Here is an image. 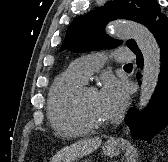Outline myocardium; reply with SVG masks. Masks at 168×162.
<instances>
[{"label":"myocardium","instance_id":"1","mask_svg":"<svg viewBox=\"0 0 168 162\" xmlns=\"http://www.w3.org/2000/svg\"><path fill=\"white\" fill-rule=\"evenodd\" d=\"M89 91H96V89L91 86L82 85L75 91L69 104L70 112L73 118L76 120V122L79 123L86 130L101 129L105 127L107 123L93 122L85 116L83 111V98L86 95V93Z\"/></svg>","mask_w":168,"mask_h":162}]
</instances>
